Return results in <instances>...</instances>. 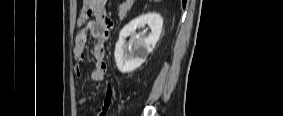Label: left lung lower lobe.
<instances>
[{
  "instance_id": "0a47b994",
  "label": "left lung lower lobe",
  "mask_w": 283,
  "mask_h": 116,
  "mask_svg": "<svg viewBox=\"0 0 283 116\" xmlns=\"http://www.w3.org/2000/svg\"><path fill=\"white\" fill-rule=\"evenodd\" d=\"M183 1V5L185 6V4H186V0H182Z\"/></svg>"
}]
</instances>
